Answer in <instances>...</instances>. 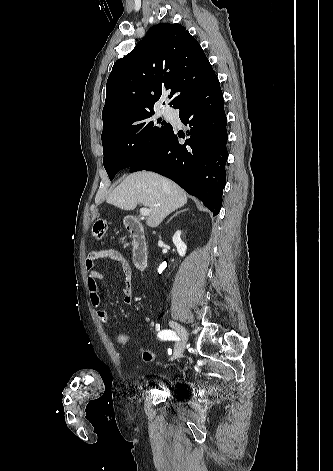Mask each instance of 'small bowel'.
Returning a JSON list of instances; mask_svg holds the SVG:
<instances>
[{"instance_id":"small-bowel-1","label":"small bowel","mask_w":333,"mask_h":471,"mask_svg":"<svg viewBox=\"0 0 333 471\" xmlns=\"http://www.w3.org/2000/svg\"><path fill=\"white\" fill-rule=\"evenodd\" d=\"M101 259H108L116 263L118 269L124 276L123 287V304L130 306L133 301V287H132V271L127 260L120 252L114 249H102L98 251H91L85 260V269L87 273V285L89 291L90 302L93 307L97 309L96 315L102 324H108L109 316L105 309L100 308L101 296L99 282L102 279V274L96 270L95 265ZM146 322H151L150 317L145 318Z\"/></svg>"}]
</instances>
